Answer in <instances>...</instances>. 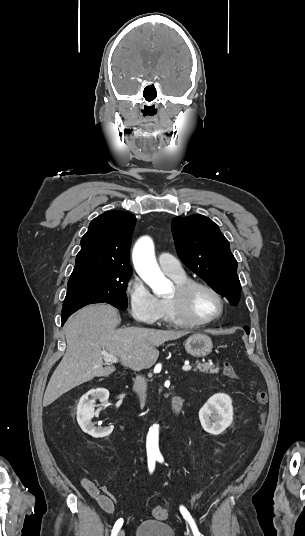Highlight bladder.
Wrapping results in <instances>:
<instances>
[{"label":"bladder","mask_w":305,"mask_h":536,"mask_svg":"<svg viewBox=\"0 0 305 536\" xmlns=\"http://www.w3.org/2000/svg\"><path fill=\"white\" fill-rule=\"evenodd\" d=\"M134 536H175V531L167 520L148 518L136 525Z\"/></svg>","instance_id":"1"}]
</instances>
